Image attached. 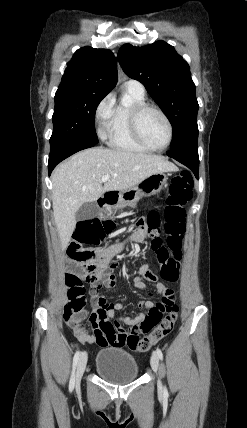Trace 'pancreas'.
<instances>
[{
	"instance_id": "1",
	"label": "pancreas",
	"mask_w": 247,
	"mask_h": 428,
	"mask_svg": "<svg viewBox=\"0 0 247 428\" xmlns=\"http://www.w3.org/2000/svg\"><path fill=\"white\" fill-rule=\"evenodd\" d=\"M123 207H124V205L120 203L119 205H117V206H116V209H117V208H118V209H121V208H123Z\"/></svg>"
}]
</instances>
